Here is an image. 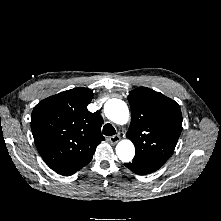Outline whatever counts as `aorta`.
Returning a JSON list of instances; mask_svg holds the SVG:
<instances>
[{
    "instance_id": "obj_1",
    "label": "aorta",
    "mask_w": 221,
    "mask_h": 221,
    "mask_svg": "<svg viewBox=\"0 0 221 221\" xmlns=\"http://www.w3.org/2000/svg\"><path fill=\"white\" fill-rule=\"evenodd\" d=\"M104 112L107 118L116 124L124 125L129 121L128 106L120 99L108 100ZM116 154L122 162H130L135 155V147L130 140H121L116 146Z\"/></svg>"
}]
</instances>
